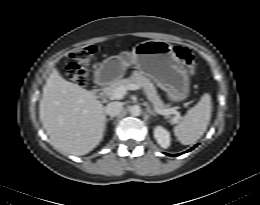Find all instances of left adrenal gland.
Listing matches in <instances>:
<instances>
[{
    "mask_svg": "<svg viewBox=\"0 0 260 205\" xmlns=\"http://www.w3.org/2000/svg\"><path fill=\"white\" fill-rule=\"evenodd\" d=\"M147 112L152 116H156V113L149 106H147Z\"/></svg>",
    "mask_w": 260,
    "mask_h": 205,
    "instance_id": "obj_1",
    "label": "left adrenal gland"
}]
</instances>
